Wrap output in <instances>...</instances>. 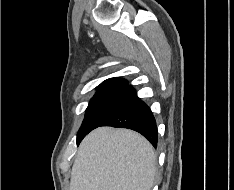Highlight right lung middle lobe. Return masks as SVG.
I'll return each instance as SVG.
<instances>
[{
  "instance_id": "dd1d6c3e",
  "label": "right lung middle lobe",
  "mask_w": 234,
  "mask_h": 190,
  "mask_svg": "<svg viewBox=\"0 0 234 190\" xmlns=\"http://www.w3.org/2000/svg\"><path fill=\"white\" fill-rule=\"evenodd\" d=\"M127 82L118 81L97 87V92L90 100L77 138L97 128L108 116L121 97Z\"/></svg>"
}]
</instances>
